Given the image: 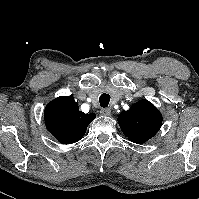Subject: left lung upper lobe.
Returning a JSON list of instances; mask_svg holds the SVG:
<instances>
[{
  "label": "left lung upper lobe",
  "mask_w": 199,
  "mask_h": 199,
  "mask_svg": "<svg viewBox=\"0 0 199 199\" xmlns=\"http://www.w3.org/2000/svg\"><path fill=\"white\" fill-rule=\"evenodd\" d=\"M122 132L134 143H144L160 129L162 115L146 99L134 103L129 110L118 117Z\"/></svg>",
  "instance_id": "5c2ea615"
}]
</instances>
